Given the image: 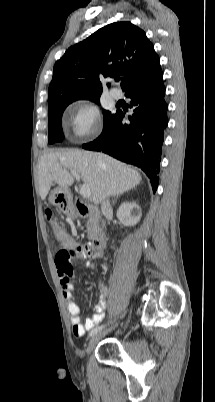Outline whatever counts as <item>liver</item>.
Returning a JSON list of instances; mask_svg holds the SVG:
<instances>
[{"instance_id": "6515ba94", "label": "liver", "mask_w": 215, "mask_h": 402, "mask_svg": "<svg viewBox=\"0 0 215 402\" xmlns=\"http://www.w3.org/2000/svg\"><path fill=\"white\" fill-rule=\"evenodd\" d=\"M74 170L90 187L94 204L117 196L141 182L138 171L106 154L79 150L54 151L44 154L38 166L39 194L45 200L53 182L68 189L74 183Z\"/></svg>"}]
</instances>
